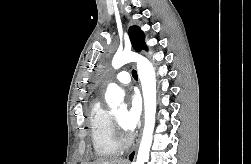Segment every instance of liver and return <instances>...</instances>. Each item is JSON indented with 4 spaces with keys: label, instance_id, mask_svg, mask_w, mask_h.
Wrapping results in <instances>:
<instances>
[{
    "label": "liver",
    "instance_id": "obj_1",
    "mask_svg": "<svg viewBox=\"0 0 251 164\" xmlns=\"http://www.w3.org/2000/svg\"><path fill=\"white\" fill-rule=\"evenodd\" d=\"M90 164H126V161L121 158L99 159Z\"/></svg>",
    "mask_w": 251,
    "mask_h": 164
}]
</instances>
